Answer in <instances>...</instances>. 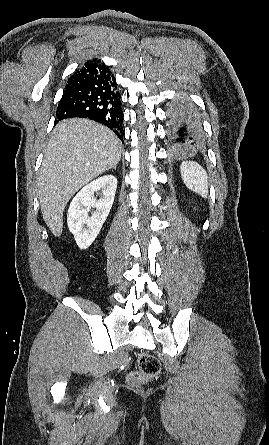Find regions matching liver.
Masks as SVG:
<instances>
[{"label": "liver", "mask_w": 269, "mask_h": 445, "mask_svg": "<svg viewBox=\"0 0 269 445\" xmlns=\"http://www.w3.org/2000/svg\"><path fill=\"white\" fill-rule=\"evenodd\" d=\"M121 143L108 128L88 119H67L53 130L38 175L43 219L59 237L71 197L92 179L116 168Z\"/></svg>", "instance_id": "obj_1"}]
</instances>
